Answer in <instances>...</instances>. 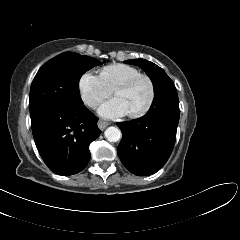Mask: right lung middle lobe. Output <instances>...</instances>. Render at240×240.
I'll return each mask as SVG.
<instances>
[{
    "label": "right lung middle lobe",
    "instance_id": "obj_1",
    "mask_svg": "<svg viewBox=\"0 0 240 240\" xmlns=\"http://www.w3.org/2000/svg\"><path fill=\"white\" fill-rule=\"evenodd\" d=\"M100 64L97 59L74 52H65L49 60L31 85V118L50 108L82 105L79 79L87 70Z\"/></svg>",
    "mask_w": 240,
    "mask_h": 240
}]
</instances>
